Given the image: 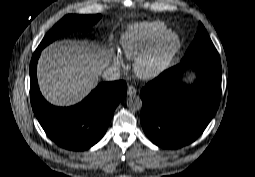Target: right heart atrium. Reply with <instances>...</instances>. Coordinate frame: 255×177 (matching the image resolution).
Here are the masks:
<instances>
[{
    "mask_svg": "<svg viewBox=\"0 0 255 177\" xmlns=\"http://www.w3.org/2000/svg\"><path fill=\"white\" fill-rule=\"evenodd\" d=\"M115 63L118 67H123V65H124V62H123L122 58L119 55H117L115 57Z\"/></svg>",
    "mask_w": 255,
    "mask_h": 177,
    "instance_id": "1",
    "label": "right heart atrium"
}]
</instances>
